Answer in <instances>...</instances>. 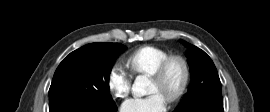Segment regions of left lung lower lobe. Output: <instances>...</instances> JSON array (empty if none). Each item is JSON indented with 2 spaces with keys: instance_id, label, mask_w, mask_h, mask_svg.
Segmentation results:
<instances>
[{
  "instance_id": "obj_1",
  "label": "left lung lower lobe",
  "mask_w": 270,
  "mask_h": 112,
  "mask_svg": "<svg viewBox=\"0 0 270 112\" xmlns=\"http://www.w3.org/2000/svg\"><path fill=\"white\" fill-rule=\"evenodd\" d=\"M175 112H223V105L214 103L195 104L190 108L177 110Z\"/></svg>"
}]
</instances>
